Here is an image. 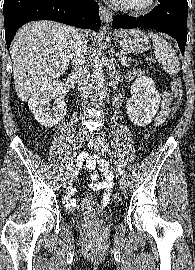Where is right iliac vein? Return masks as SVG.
I'll return each mask as SVG.
<instances>
[{
  "label": "right iliac vein",
  "mask_w": 195,
  "mask_h": 270,
  "mask_svg": "<svg viewBox=\"0 0 195 270\" xmlns=\"http://www.w3.org/2000/svg\"><path fill=\"white\" fill-rule=\"evenodd\" d=\"M84 137H85L84 132L77 133L76 138L74 140V153H76V151L83 145ZM69 170H71V168ZM69 183H70L69 171H66L62 179V186L66 188L69 185Z\"/></svg>",
  "instance_id": "63e3f726"
}]
</instances>
